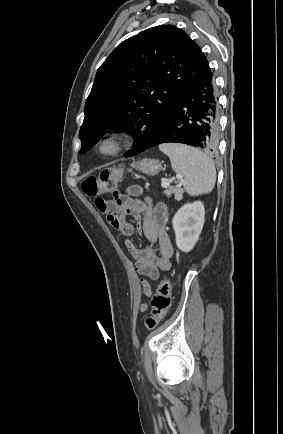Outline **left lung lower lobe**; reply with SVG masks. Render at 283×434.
<instances>
[{
    "instance_id": "1",
    "label": "left lung lower lobe",
    "mask_w": 283,
    "mask_h": 434,
    "mask_svg": "<svg viewBox=\"0 0 283 434\" xmlns=\"http://www.w3.org/2000/svg\"><path fill=\"white\" fill-rule=\"evenodd\" d=\"M218 112V94L210 70L182 92L151 144L141 152L168 142L215 151L218 146Z\"/></svg>"
}]
</instances>
